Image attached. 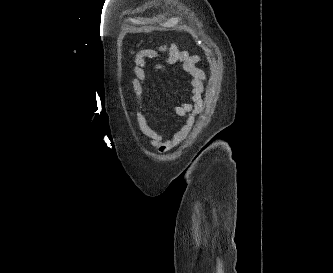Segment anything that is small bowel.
Segmentation results:
<instances>
[{
  "mask_svg": "<svg viewBox=\"0 0 333 273\" xmlns=\"http://www.w3.org/2000/svg\"><path fill=\"white\" fill-rule=\"evenodd\" d=\"M147 59H163L167 65L179 64L191 77L190 94L192 103H183L177 107L176 113L181 117L191 114L202 106L203 84L206 77L205 73L197 66L199 61L198 56L191 55L188 50L180 49L176 44L143 48L134 53V65L132 68L134 78L131 80L130 86L137 99V130L149 144L159 152L164 153L172 149L183 135V132L177 134L172 139L164 140L162 132L157 131L150 120L143 102L148 77ZM164 67L163 64L155 65L157 70Z\"/></svg>",
  "mask_w": 333,
  "mask_h": 273,
  "instance_id": "small-bowel-1",
  "label": "small bowel"
}]
</instances>
